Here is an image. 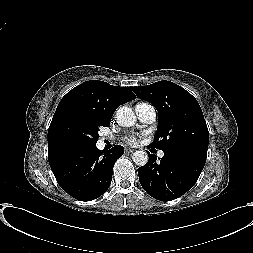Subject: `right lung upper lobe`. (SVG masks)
<instances>
[{
	"label": "right lung upper lobe",
	"mask_w": 253,
	"mask_h": 253,
	"mask_svg": "<svg viewBox=\"0 0 253 253\" xmlns=\"http://www.w3.org/2000/svg\"><path fill=\"white\" fill-rule=\"evenodd\" d=\"M136 98L131 88L112 86L99 80L86 81L70 90L60 101L52 125L63 115L79 114L94 118L109 126L115 110ZM48 148V153L54 152Z\"/></svg>",
	"instance_id": "obj_1"
}]
</instances>
